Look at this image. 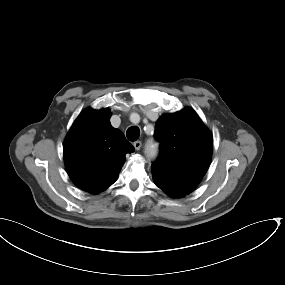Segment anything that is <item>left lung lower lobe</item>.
Masks as SVG:
<instances>
[{
  "instance_id": "obj_1",
  "label": "left lung lower lobe",
  "mask_w": 285,
  "mask_h": 285,
  "mask_svg": "<svg viewBox=\"0 0 285 285\" xmlns=\"http://www.w3.org/2000/svg\"><path fill=\"white\" fill-rule=\"evenodd\" d=\"M152 176L157 187L171 197H182L191 193L196 184L184 182L168 177L157 170H152Z\"/></svg>"
}]
</instances>
